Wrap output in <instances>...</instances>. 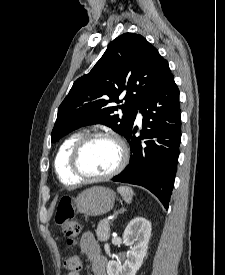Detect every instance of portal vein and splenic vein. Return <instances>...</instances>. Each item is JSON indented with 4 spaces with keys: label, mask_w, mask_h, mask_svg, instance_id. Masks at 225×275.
Listing matches in <instances>:
<instances>
[{
    "label": "portal vein and splenic vein",
    "mask_w": 225,
    "mask_h": 275,
    "mask_svg": "<svg viewBox=\"0 0 225 275\" xmlns=\"http://www.w3.org/2000/svg\"><path fill=\"white\" fill-rule=\"evenodd\" d=\"M107 221H110V218L106 219Z\"/></svg>",
    "instance_id": "portal-vein-and-splenic-vein-1"
}]
</instances>
